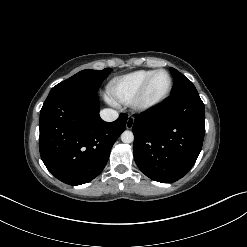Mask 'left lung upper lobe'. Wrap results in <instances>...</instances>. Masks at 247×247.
Returning a JSON list of instances; mask_svg holds the SVG:
<instances>
[{
    "instance_id": "obj_1",
    "label": "left lung upper lobe",
    "mask_w": 247,
    "mask_h": 247,
    "mask_svg": "<svg viewBox=\"0 0 247 247\" xmlns=\"http://www.w3.org/2000/svg\"><path fill=\"white\" fill-rule=\"evenodd\" d=\"M170 72L174 78V90L171 94V97L198 93L193 83L182 73L174 68H170Z\"/></svg>"
}]
</instances>
